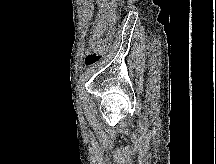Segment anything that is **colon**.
Returning <instances> with one entry per match:
<instances>
[{"label":"colon","mask_w":216,"mask_h":164,"mask_svg":"<svg viewBox=\"0 0 216 164\" xmlns=\"http://www.w3.org/2000/svg\"><path fill=\"white\" fill-rule=\"evenodd\" d=\"M116 18L117 13L116 11H113L107 24L112 25L113 23H115ZM104 29L102 31L93 32L92 38L90 40L89 51L85 58V63L88 67H92L98 64L103 56L107 53L108 38L103 37Z\"/></svg>","instance_id":"1"}]
</instances>
